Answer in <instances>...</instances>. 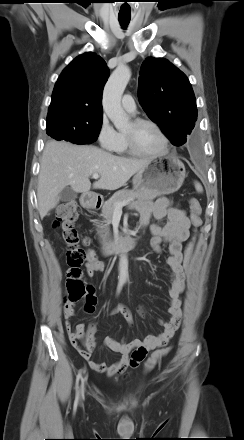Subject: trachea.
<instances>
[{
	"mask_svg": "<svg viewBox=\"0 0 244 440\" xmlns=\"http://www.w3.org/2000/svg\"><path fill=\"white\" fill-rule=\"evenodd\" d=\"M119 22L123 28H126L130 22V18H119Z\"/></svg>",
	"mask_w": 244,
	"mask_h": 440,
	"instance_id": "3493384b",
	"label": "trachea"
}]
</instances>
